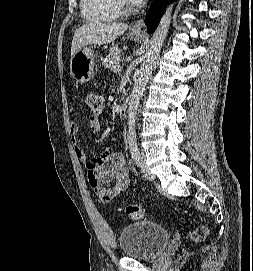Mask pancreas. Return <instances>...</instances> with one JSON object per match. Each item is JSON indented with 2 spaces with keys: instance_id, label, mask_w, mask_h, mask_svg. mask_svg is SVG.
I'll return each instance as SVG.
<instances>
[{
  "instance_id": "cf45deb5",
  "label": "pancreas",
  "mask_w": 253,
  "mask_h": 271,
  "mask_svg": "<svg viewBox=\"0 0 253 271\" xmlns=\"http://www.w3.org/2000/svg\"><path fill=\"white\" fill-rule=\"evenodd\" d=\"M121 62V50H113L107 57L102 59V65L105 68L114 69V66L119 65Z\"/></svg>"
}]
</instances>
